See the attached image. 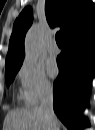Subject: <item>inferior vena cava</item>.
I'll use <instances>...</instances> for the list:
<instances>
[{"instance_id": "602c4592", "label": "inferior vena cava", "mask_w": 95, "mask_h": 130, "mask_svg": "<svg viewBox=\"0 0 95 130\" xmlns=\"http://www.w3.org/2000/svg\"><path fill=\"white\" fill-rule=\"evenodd\" d=\"M39 109L45 116V120L49 127L48 129L59 130V128H57L58 120L53 110V89L51 86L45 87L42 91Z\"/></svg>"}]
</instances>
